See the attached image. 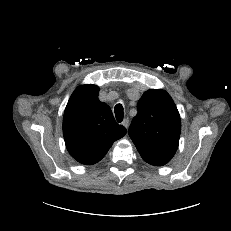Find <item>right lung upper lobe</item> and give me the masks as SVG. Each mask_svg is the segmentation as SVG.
I'll use <instances>...</instances> for the list:
<instances>
[{
    "label": "right lung upper lobe",
    "mask_w": 231,
    "mask_h": 231,
    "mask_svg": "<svg viewBox=\"0 0 231 231\" xmlns=\"http://www.w3.org/2000/svg\"><path fill=\"white\" fill-rule=\"evenodd\" d=\"M99 87L81 85L72 93L63 117L66 148L78 162L100 161L127 130L116 123L110 107L99 101Z\"/></svg>",
    "instance_id": "obj_1"
}]
</instances>
